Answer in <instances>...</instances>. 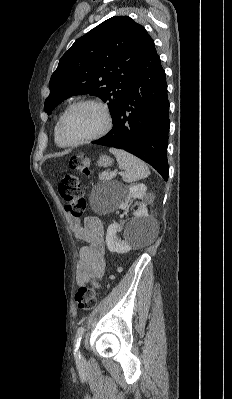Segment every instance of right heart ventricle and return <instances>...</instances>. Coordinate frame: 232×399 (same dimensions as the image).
<instances>
[{"label":"right heart ventricle","instance_id":"obj_1","mask_svg":"<svg viewBox=\"0 0 232 399\" xmlns=\"http://www.w3.org/2000/svg\"><path fill=\"white\" fill-rule=\"evenodd\" d=\"M64 110L61 111L60 115L58 116L55 125H54V141L56 143V145L62 149H67L72 147V145H70L69 143H67L60 135L59 132V120L61 115L63 114Z\"/></svg>","mask_w":232,"mask_h":399}]
</instances>
